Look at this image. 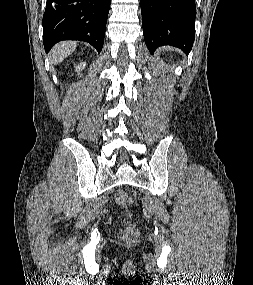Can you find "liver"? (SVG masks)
<instances>
[{"instance_id":"6515ba94","label":"liver","mask_w":253,"mask_h":285,"mask_svg":"<svg viewBox=\"0 0 253 285\" xmlns=\"http://www.w3.org/2000/svg\"><path fill=\"white\" fill-rule=\"evenodd\" d=\"M76 46V42H66L56 45L52 50L51 63L58 64L62 62L76 49Z\"/></svg>"}]
</instances>
